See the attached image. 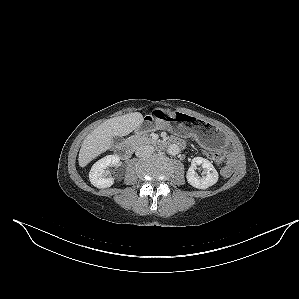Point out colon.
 I'll return each mask as SVG.
<instances>
[{
	"label": "colon",
	"mask_w": 299,
	"mask_h": 299,
	"mask_svg": "<svg viewBox=\"0 0 299 299\" xmlns=\"http://www.w3.org/2000/svg\"><path fill=\"white\" fill-rule=\"evenodd\" d=\"M207 155L222 169L224 176H229L232 173V166L225 161V156L221 151H208Z\"/></svg>",
	"instance_id": "5ec220e1"
}]
</instances>
